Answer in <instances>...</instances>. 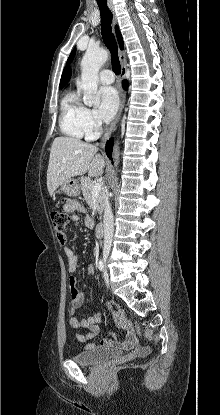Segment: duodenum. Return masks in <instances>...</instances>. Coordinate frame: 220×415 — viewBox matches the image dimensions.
Instances as JSON below:
<instances>
[{"instance_id": "410a0bca", "label": "duodenum", "mask_w": 220, "mask_h": 415, "mask_svg": "<svg viewBox=\"0 0 220 415\" xmlns=\"http://www.w3.org/2000/svg\"><path fill=\"white\" fill-rule=\"evenodd\" d=\"M105 233V222L98 224L95 228V235L98 239H102Z\"/></svg>"}]
</instances>
